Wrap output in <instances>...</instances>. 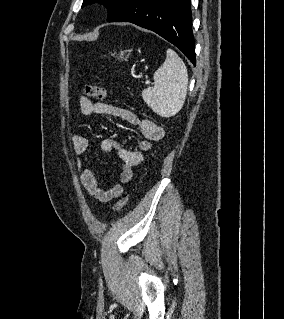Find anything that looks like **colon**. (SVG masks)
I'll return each instance as SVG.
<instances>
[{
  "mask_svg": "<svg viewBox=\"0 0 284 319\" xmlns=\"http://www.w3.org/2000/svg\"><path fill=\"white\" fill-rule=\"evenodd\" d=\"M84 92L87 96L97 100H104L107 96L106 90L97 84H87L84 87ZM127 202L128 196L122 197L114 204L112 211L116 212L121 210L127 204Z\"/></svg>",
  "mask_w": 284,
  "mask_h": 319,
  "instance_id": "colon-1",
  "label": "colon"
}]
</instances>
